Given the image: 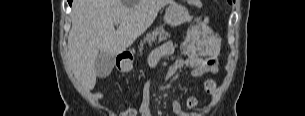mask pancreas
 <instances>
[{"mask_svg": "<svg viewBox=\"0 0 305 116\" xmlns=\"http://www.w3.org/2000/svg\"><path fill=\"white\" fill-rule=\"evenodd\" d=\"M168 37H170V34L165 31L163 26L156 27L152 32L147 33V35L144 37L143 41L140 44L139 52L142 54L143 45L148 43L151 45L153 42L163 41L166 40Z\"/></svg>", "mask_w": 305, "mask_h": 116, "instance_id": "cf45deb5", "label": "pancreas"}]
</instances>
